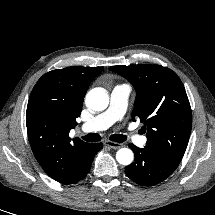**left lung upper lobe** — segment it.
Returning <instances> with one entry per match:
<instances>
[{
    "label": "left lung upper lobe",
    "mask_w": 215,
    "mask_h": 215,
    "mask_svg": "<svg viewBox=\"0 0 215 215\" xmlns=\"http://www.w3.org/2000/svg\"><path fill=\"white\" fill-rule=\"evenodd\" d=\"M135 87L137 96L132 119L147 130V146L177 165L188 145L192 112L178 75L160 65H117L109 68Z\"/></svg>",
    "instance_id": "5c2ea615"
}]
</instances>
